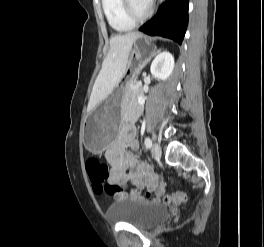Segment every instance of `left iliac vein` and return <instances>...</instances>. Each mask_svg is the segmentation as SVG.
Listing matches in <instances>:
<instances>
[{"instance_id": "4c4485c4", "label": "left iliac vein", "mask_w": 264, "mask_h": 247, "mask_svg": "<svg viewBox=\"0 0 264 247\" xmlns=\"http://www.w3.org/2000/svg\"><path fill=\"white\" fill-rule=\"evenodd\" d=\"M152 155L155 158H160L161 157V146L158 143H154L153 147L151 149Z\"/></svg>"}]
</instances>
